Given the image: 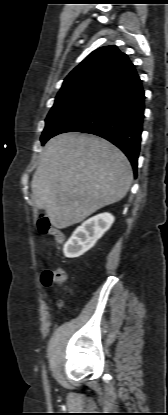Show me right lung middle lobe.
Wrapping results in <instances>:
<instances>
[{
	"mask_svg": "<svg viewBox=\"0 0 168 415\" xmlns=\"http://www.w3.org/2000/svg\"><path fill=\"white\" fill-rule=\"evenodd\" d=\"M99 91H78L56 97L55 103L50 110L45 122V128L41 136L44 144L49 138L73 117L85 105L100 95Z\"/></svg>",
	"mask_w": 168,
	"mask_h": 415,
	"instance_id": "1",
	"label": "right lung middle lobe"
}]
</instances>
